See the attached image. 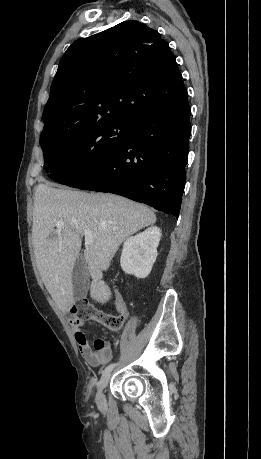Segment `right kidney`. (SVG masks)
<instances>
[{"mask_svg": "<svg viewBox=\"0 0 261 459\" xmlns=\"http://www.w3.org/2000/svg\"><path fill=\"white\" fill-rule=\"evenodd\" d=\"M160 228L153 226L126 239L120 258L122 270L137 278H146L157 258Z\"/></svg>", "mask_w": 261, "mask_h": 459, "instance_id": "ca27d5eb", "label": "right kidney"}]
</instances>
